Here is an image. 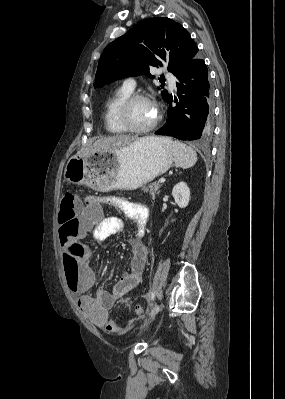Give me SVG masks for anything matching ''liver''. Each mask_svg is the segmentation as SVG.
<instances>
[{
	"mask_svg": "<svg viewBox=\"0 0 285 399\" xmlns=\"http://www.w3.org/2000/svg\"><path fill=\"white\" fill-rule=\"evenodd\" d=\"M136 140H138L136 136L127 135H113L108 137H102L96 140L94 143L90 144L89 146L83 148L78 154L86 155L95 151L116 152L119 149L130 145Z\"/></svg>",
	"mask_w": 285,
	"mask_h": 399,
	"instance_id": "liver-1",
	"label": "liver"
}]
</instances>
